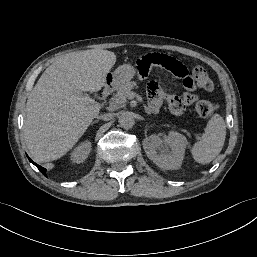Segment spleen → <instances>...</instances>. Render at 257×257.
Returning a JSON list of instances; mask_svg holds the SVG:
<instances>
[{"instance_id": "obj_1", "label": "spleen", "mask_w": 257, "mask_h": 257, "mask_svg": "<svg viewBox=\"0 0 257 257\" xmlns=\"http://www.w3.org/2000/svg\"><path fill=\"white\" fill-rule=\"evenodd\" d=\"M226 138V125L219 114L208 121L205 132L192 147L191 153L196 162L210 163L220 153Z\"/></svg>"}]
</instances>
